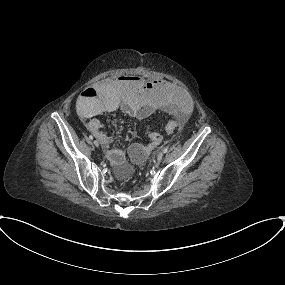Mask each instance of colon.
<instances>
[{"label": "colon", "instance_id": "5ec220e1", "mask_svg": "<svg viewBox=\"0 0 285 285\" xmlns=\"http://www.w3.org/2000/svg\"><path fill=\"white\" fill-rule=\"evenodd\" d=\"M180 124L174 121H169L166 125V130L170 132H174L180 129ZM144 136L148 140L147 145H142L140 143H134L130 149V158L135 163L143 162L146 157L148 156L151 149L155 146L159 145L162 141L161 134L153 127V126H146L144 131Z\"/></svg>", "mask_w": 285, "mask_h": 285}]
</instances>
